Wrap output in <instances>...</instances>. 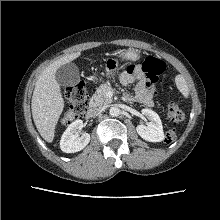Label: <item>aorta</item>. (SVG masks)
<instances>
[{
	"instance_id": "aorta-1",
	"label": "aorta",
	"mask_w": 220,
	"mask_h": 220,
	"mask_svg": "<svg viewBox=\"0 0 220 220\" xmlns=\"http://www.w3.org/2000/svg\"><path fill=\"white\" fill-rule=\"evenodd\" d=\"M109 114L113 117H116L120 114V109L117 106H112L109 109Z\"/></svg>"
}]
</instances>
